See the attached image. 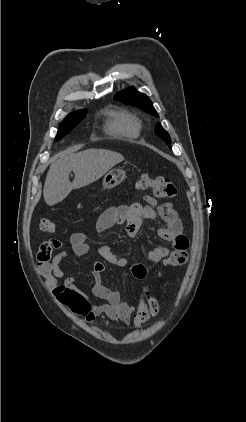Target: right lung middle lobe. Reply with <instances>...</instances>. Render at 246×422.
Wrapping results in <instances>:
<instances>
[{"label":"right lung middle lobe","mask_w":246,"mask_h":422,"mask_svg":"<svg viewBox=\"0 0 246 422\" xmlns=\"http://www.w3.org/2000/svg\"><path fill=\"white\" fill-rule=\"evenodd\" d=\"M87 110H79L71 113L60 125L59 131L55 137V141L61 139L75 128L86 116Z\"/></svg>","instance_id":"dd1d6c3e"}]
</instances>
